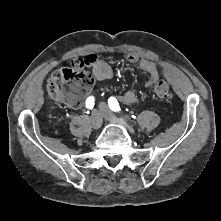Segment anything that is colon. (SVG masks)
I'll use <instances>...</instances> for the list:
<instances>
[{
	"instance_id": "5ec220e1",
	"label": "colon",
	"mask_w": 221,
	"mask_h": 221,
	"mask_svg": "<svg viewBox=\"0 0 221 221\" xmlns=\"http://www.w3.org/2000/svg\"><path fill=\"white\" fill-rule=\"evenodd\" d=\"M85 59H76L55 71L46 82L48 94L72 107H79L86 94L94 85V79L87 69ZM156 95L164 100L172 97L169 84L160 80L155 86Z\"/></svg>"
}]
</instances>
